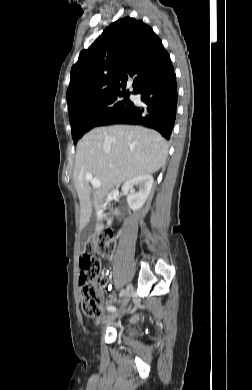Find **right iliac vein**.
<instances>
[{
    "instance_id": "right-iliac-vein-1",
    "label": "right iliac vein",
    "mask_w": 252,
    "mask_h": 390,
    "mask_svg": "<svg viewBox=\"0 0 252 390\" xmlns=\"http://www.w3.org/2000/svg\"><path fill=\"white\" fill-rule=\"evenodd\" d=\"M132 295H133V287H132V285L129 284L125 290L122 306L120 307V309L118 311H114L108 315V317H107L108 321H113L114 319L121 316V314L125 311L126 305L128 304Z\"/></svg>"
}]
</instances>
